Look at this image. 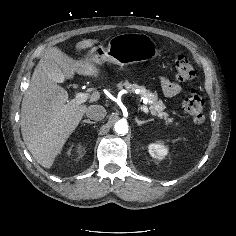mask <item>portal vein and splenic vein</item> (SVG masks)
Masks as SVG:
<instances>
[{
  "instance_id": "obj_1",
  "label": "portal vein and splenic vein",
  "mask_w": 236,
  "mask_h": 236,
  "mask_svg": "<svg viewBox=\"0 0 236 236\" xmlns=\"http://www.w3.org/2000/svg\"><path fill=\"white\" fill-rule=\"evenodd\" d=\"M89 98H90L89 93L79 92V93L76 94V97L73 100H71L70 103L73 106H77V105H80V104L86 102ZM141 108L146 114L149 113L148 107L146 105H143Z\"/></svg>"
}]
</instances>
